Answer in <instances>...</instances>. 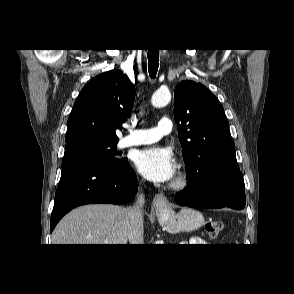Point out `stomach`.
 Instances as JSON below:
<instances>
[{
	"label": "stomach",
	"mask_w": 294,
	"mask_h": 294,
	"mask_svg": "<svg viewBox=\"0 0 294 294\" xmlns=\"http://www.w3.org/2000/svg\"><path fill=\"white\" fill-rule=\"evenodd\" d=\"M160 224L171 233L193 231L204 223L203 215L194 209L182 208L178 213L166 209L158 213Z\"/></svg>",
	"instance_id": "stomach-1"
}]
</instances>
